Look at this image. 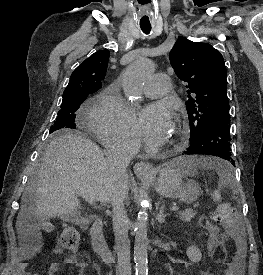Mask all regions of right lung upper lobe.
I'll use <instances>...</instances> for the list:
<instances>
[{"label":"right lung upper lobe","instance_id":"cb5924a9","mask_svg":"<svg viewBox=\"0 0 263 275\" xmlns=\"http://www.w3.org/2000/svg\"><path fill=\"white\" fill-rule=\"evenodd\" d=\"M110 51L107 49L99 50L89 58L84 60L72 73L70 81L63 96L87 92L91 94L102 86L108 65Z\"/></svg>","mask_w":263,"mask_h":275}]
</instances>
